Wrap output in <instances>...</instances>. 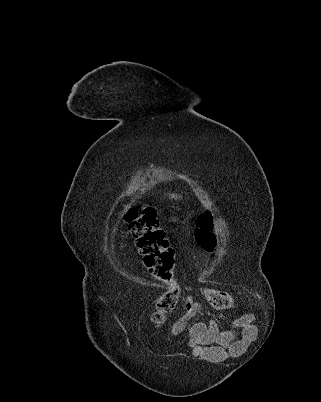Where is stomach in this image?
<instances>
[{
	"label": "stomach",
	"instance_id": "0dacf381",
	"mask_svg": "<svg viewBox=\"0 0 321 402\" xmlns=\"http://www.w3.org/2000/svg\"><path fill=\"white\" fill-rule=\"evenodd\" d=\"M169 221H170V222H177V221H178V218H177V217H171Z\"/></svg>",
	"mask_w": 321,
	"mask_h": 402
}]
</instances>
